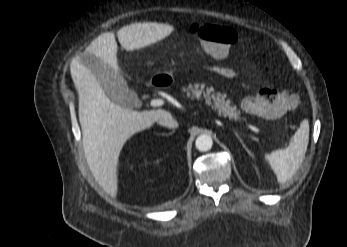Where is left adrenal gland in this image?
<instances>
[{"label": "left adrenal gland", "instance_id": "obj_1", "mask_svg": "<svg viewBox=\"0 0 347 247\" xmlns=\"http://www.w3.org/2000/svg\"><path fill=\"white\" fill-rule=\"evenodd\" d=\"M235 135L238 138V140L240 141L241 145L243 146V148L246 150V152L248 154H250V151L248 150V148L246 147V145L244 144L242 138L240 137V135L238 134V132L235 131Z\"/></svg>", "mask_w": 347, "mask_h": 247}]
</instances>
